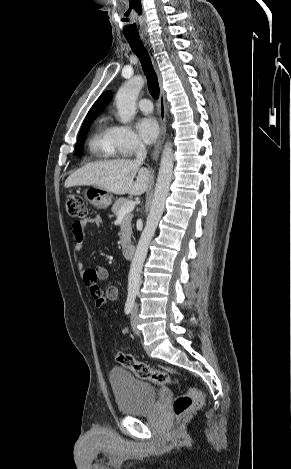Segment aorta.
Returning <instances> with one entry per match:
<instances>
[{
    "label": "aorta",
    "instance_id": "aorta-1",
    "mask_svg": "<svg viewBox=\"0 0 291 469\" xmlns=\"http://www.w3.org/2000/svg\"><path fill=\"white\" fill-rule=\"evenodd\" d=\"M144 85V79L141 76H135L125 82L118 90L115 100L121 123H128L136 114L137 97ZM173 172L172 144L167 142L164 146L159 174L155 187L154 197L147 217L145 228L139 239L134 258L131 262L128 276V293L137 294L140 288V276L143 263L145 261L148 246L159 220L164 212L165 201L169 193Z\"/></svg>",
    "mask_w": 291,
    "mask_h": 469
}]
</instances>
